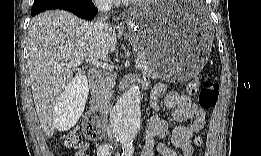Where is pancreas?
<instances>
[{
    "label": "pancreas",
    "mask_w": 261,
    "mask_h": 156,
    "mask_svg": "<svg viewBox=\"0 0 261 156\" xmlns=\"http://www.w3.org/2000/svg\"><path fill=\"white\" fill-rule=\"evenodd\" d=\"M137 61L142 63L141 71L145 76L157 77V71L151 61L143 54H137ZM116 74L112 72H104L97 85L93 90V102L99 105H105L111 95L112 89L115 86Z\"/></svg>",
    "instance_id": "obj_1"
}]
</instances>
